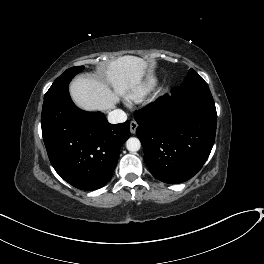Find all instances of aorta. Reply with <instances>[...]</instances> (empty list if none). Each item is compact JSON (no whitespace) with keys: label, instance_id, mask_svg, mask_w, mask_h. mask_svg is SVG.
Returning <instances> with one entry per match:
<instances>
[{"label":"aorta","instance_id":"762f6f07","mask_svg":"<svg viewBox=\"0 0 264 264\" xmlns=\"http://www.w3.org/2000/svg\"><path fill=\"white\" fill-rule=\"evenodd\" d=\"M141 147V143L138 138L130 137L126 141V148L130 152H137Z\"/></svg>","mask_w":264,"mask_h":264}]
</instances>
